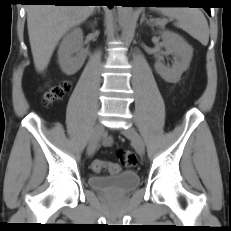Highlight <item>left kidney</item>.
Listing matches in <instances>:
<instances>
[{"label": "left kidney", "instance_id": "1", "mask_svg": "<svg viewBox=\"0 0 231 231\" xmlns=\"http://www.w3.org/2000/svg\"><path fill=\"white\" fill-rule=\"evenodd\" d=\"M161 37L167 53L174 56V62L169 67L159 59L155 62V69L166 82L177 83L183 72L189 67L193 48L177 33L163 31Z\"/></svg>", "mask_w": 231, "mask_h": 231}]
</instances>
